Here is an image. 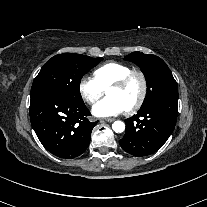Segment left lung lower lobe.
<instances>
[{"label":"left lung lower lobe","instance_id":"left-lung-lower-lobe-1","mask_svg":"<svg viewBox=\"0 0 207 207\" xmlns=\"http://www.w3.org/2000/svg\"><path fill=\"white\" fill-rule=\"evenodd\" d=\"M177 113L178 96H164L141 108L125 120V135L119 140L121 147L137 157L153 154L173 132Z\"/></svg>","mask_w":207,"mask_h":207}]
</instances>
